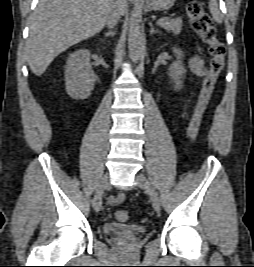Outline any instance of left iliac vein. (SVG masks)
Listing matches in <instances>:
<instances>
[{
    "instance_id": "4c4485c4",
    "label": "left iliac vein",
    "mask_w": 254,
    "mask_h": 267,
    "mask_svg": "<svg viewBox=\"0 0 254 267\" xmlns=\"http://www.w3.org/2000/svg\"><path fill=\"white\" fill-rule=\"evenodd\" d=\"M135 181H136L137 185L140 188L145 189L148 192V194L150 196V199H151V202H152V205H153V208L157 212H159L160 209H161V202H160L159 195L156 192V190L152 187V185L150 184V182L147 180V178L145 177V175L142 174V173H138L135 176Z\"/></svg>"
}]
</instances>
